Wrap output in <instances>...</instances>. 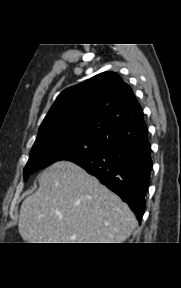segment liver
Masks as SVG:
<instances>
[{"instance_id": "obj_1", "label": "liver", "mask_w": 181, "mask_h": 288, "mask_svg": "<svg viewBox=\"0 0 181 288\" xmlns=\"http://www.w3.org/2000/svg\"><path fill=\"white\" fill-rule=\"evenodd\" d=\"M38 181L20 209L27 243H122L137 226L126 203L72 162H55Z\"/></svg>"}]
</instances>
